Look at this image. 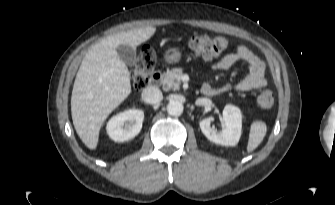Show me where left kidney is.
I'll return each instance as SVG.
<instances>
[{"label":"left kidney","mask_w":335,"mask_h":205,"mask_svg":"<svg viewBox=\"0 0 335 205\" xmlns=\"http://www.w3.org/2000/svg\"><path fill=\"white\" fill-rule=\"evenodd\" d=\"M212 117L200 121L202 133L213 143L223 146H235L242 132V114L238 107L226 105L223 109V127L221 131L211 127Z\"/></svg>","instance_id":"1"}]
</instances>
